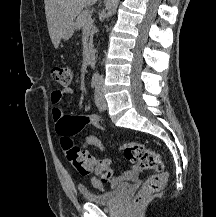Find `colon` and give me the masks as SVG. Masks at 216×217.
<instances>
[{
  "label": "colon",
  "instance_id": "colon-1",
  "mask_svg": "<svg viewBox=\"0 0 216 217\" xmlns=\"http://www.w3.org/2000/svg\"><path fill=\"white\" fill-rule=\"evenodd\" d=\"M54 80L63 87H69L72 79L70 68L66 66H55L52 68ZM85 127H93L105 130V124L102 119L90 115H78L64 118L57 127L61 135V146L64 150L68 162L82 175L92 172L100 173L103 178H110L112 170L106 160L95 161L86 150L75 145L71 136L79 133ZM125 158L136 165L140 170H155L138 191L135 201L142 203L152 194L159 191L168 178L164 171L161 156L138 141H124Z\"/></svg>",
  "mask_w": 216,
  "mask_h": 217
}]
</instances>
